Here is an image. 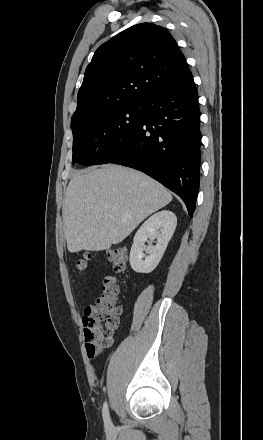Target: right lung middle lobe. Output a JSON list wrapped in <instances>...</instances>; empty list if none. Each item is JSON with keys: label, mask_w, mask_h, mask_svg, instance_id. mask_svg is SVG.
I'll return each mask as SVG.
<instances>
[{"label": "right lung middle lobe", "mask_w": 263, "mask_h": 440, "mask_svg": "<svg viewBox=\"0 0 263 440\" xmlns=\"http://www.w3.org/2000/svg\"><path fill=\"white\" fill-rule=\"evenodd\" d=\"M143 102L127 103L85 117L73 131V164L107 163L111 150L140 124Z\"/></svg>", "instance_id": "dd1d6c3e"}]
</instances>
